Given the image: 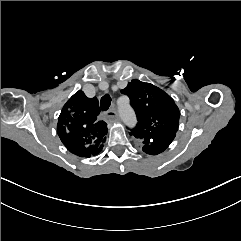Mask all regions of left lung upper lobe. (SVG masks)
<instances>
[{
    "instance_id": "1",
    "label": "left lung upper lobe",
    "mask_w": 241,
    "mask_h": 241,
    "mask_svg": "<svg viewBox=\"0 0 241 241\" xmlns=\"http://www.w3.org/2000/svg\"><path fill=\"white\" fill-rule=\"evenodd\" d=\"M130 98L138 124L131 132L147 154H159L168 145V136L178 130L180 112L174 100L160 88L132 80L121 90Z\"/></svg>"
}]
</instances>
